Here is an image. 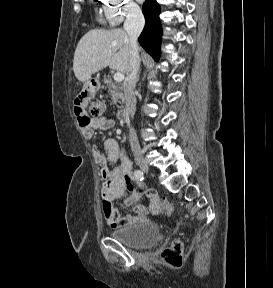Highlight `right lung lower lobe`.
I'll return each instance as SVG.
<instances>
[{"label": "right lung lower lobe", "instance_id": "1", "mask_svg": "<svg viewBox=\"0 0 273 288\" xmlns=\"http://www.w3.org/2000/svg\"><path fill=\"white\" fill-rule=\"evenodd\" d=\"M160 11L161 8L156 0H146L142 6V12L145 17V27L139 37V43L155 61H158L160 57Z\"/></svg>", "mask_w": 273, "mask_h": 288}]
</instances>
